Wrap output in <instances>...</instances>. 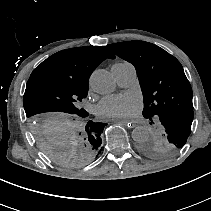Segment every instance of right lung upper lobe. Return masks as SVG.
Listing matches in <instances>:
<instances>
[{
	"label": "right lung upper lobe",
	"instance_id": "right-lung-upper-lobe-1",
	"mask_svg": "<svg viewBox=\"0 0 211 211\" xmlns=\"http://www.w3.org/2000/svg\"><path fill=\"white\" fill-rule=\"evenodd\" d=\"M114 54L104 46L77 47L59 51L43 61L29 79L52 77L88 83L95 68Z\"/></svg>",
	"mask_w": 211,
	"mask_h": 211
}]
</instances>
